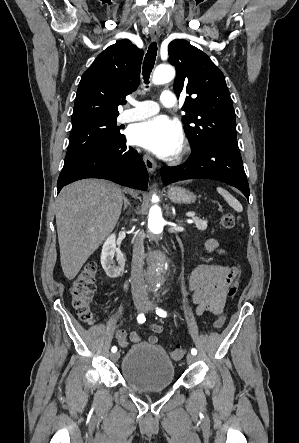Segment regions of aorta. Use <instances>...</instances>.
I'll return each mask as SVG.
<instances>
[{"instance_id":"762f6f07","label":"aorta","mask_w":299,"mask_h":443,"mask_svg":"<svg viewBox=\"0 0 299 443\" xmlns=\"http://www.w3.org/2000/svg\"><path fill=\"white\" fill-rule=\"evenodd\" d=\"M175 77V70L170 65H160L158 66L154 73L152 82L156 85L164 84L170 82ZM158 200V197L154 194L152 196V201ZM164 219L162 217L161 209L158 205H153L148 214V225L147 232L152 237H159L164 232ZM150 268L152 269V279L155 281L158 259L156 256H152L149 260Z\"/></svg>"}]
</instances>
